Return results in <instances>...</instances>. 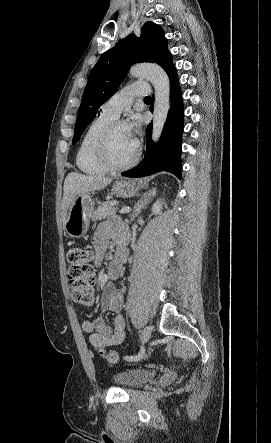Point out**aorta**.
Wrapping results in <instances>:
<instances>
[{
	"mask_svg": "<svg viewBox=\"0 0 271 443\" xmlns=\"http://www.w3.org/2000/svg\"><path fill=\"white\" fill-rule=\"evenodd\" d=\"M129 76L147 78L154 88L152 140L153 142H159L170 110L169 78L163 68H160L157 64H135L130 68Z\"/></svg>",
	"mask_w": 271,
	"mask_h": 443,
	"instance_id": "762f6f07",
	"label": "aorta"
}]
</instances>
